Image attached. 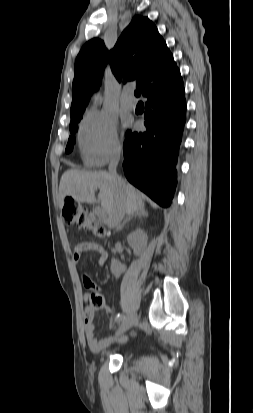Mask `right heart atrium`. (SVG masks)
<instances>
[{
  "label": "right heart atrium",
  "mask_w": 253,
  "mask_h": 413,
  "mask_svg": "<svg viewBox=\"0 0 253 413\" xmlns=\"http://www.w3.org/2000/svg\"><path fill=\"white\" fill-rule=\"evenodd\" d=\"M78 142L88 165H105L117 157L121 149L116 120L103 112H88L82 121Z\"/></svg>",
  "instance_id": "1"
}]
</instances>
